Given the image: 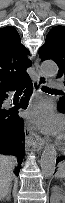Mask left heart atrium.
Segmentation results:
<instances>
[{
	"mask_svg": "<svg viewBox=\"0 0 65 203\" xmlns=\"http://www.w3.org/2000/svg\"><path fill=\"white\" fill-rule=\"evenodd\" d=\"M30 125L42 132L61 135L64 127L63 118L52 112L49 105L39 103L31 107L26 113Z\"/></svg>",
	"mask_w": 65,
	"mask_h": 203,
	"instance_id": "1",
	"label": "left heart atrium"
}]
</instances>
